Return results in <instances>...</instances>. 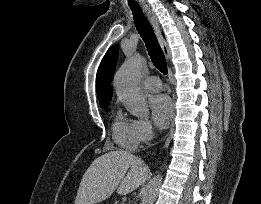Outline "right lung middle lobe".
Returning <instances> with one entry per match:
<instances>
[{
  "label": "right lung middle lobe",
  "mask_w": 261,
  "mask_h": 204,
  "mask_svg": "<svg viewBox=\"0 0 261 204\" xmlns=\"http://www.w3.org/2000/svg\"><path fill=\"white\" fill-rule=\"evenodd\" d=\"M108 105H109V102L100 104L101 108H106Z\"/></svg>",
  "instance_id": "dd1d6c3e"
}]
</instances>
